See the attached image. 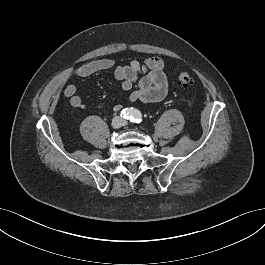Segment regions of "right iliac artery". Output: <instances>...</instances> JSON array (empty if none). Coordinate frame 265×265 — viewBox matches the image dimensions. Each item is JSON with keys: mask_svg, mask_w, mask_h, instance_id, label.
<instances>
[{"mask_svg": "<svg viewBox=\"0 0 265 265\" xmlns=\"http://www.w3.org/2000/svg\"><path fill=\"white\" fill-rule=\"evenodd\" d=\"M133 110L131 108H125L121 111V116L125 119H129L132 116Z\"/></svg>", "mask_w": 265, "mask_h": 265, "instance_id": "1", "label": "right iliac artery"}]
</instances>
